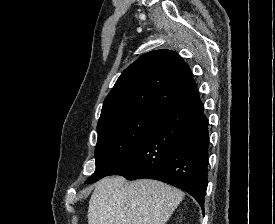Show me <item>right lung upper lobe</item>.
<instances>
[{
	"label": "right lung upper lobe",
	"instance_id": "obj_1",
	"mask_svg": "<svg viewBox=\"0 0 275 224\" xmlns=\"http://www.w3.org/2000/svg\"><path fill=\"white\" fill-rule=\"evenodd\" d=\"M196 87L191 70L177 53L151 51L139 57L120 75L104 100L98 125L144 107L167 110Z\"/></svg>",
	"mask_w": 275,
	"mask_h": 224
}]
</instances>
